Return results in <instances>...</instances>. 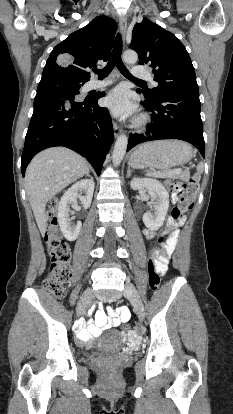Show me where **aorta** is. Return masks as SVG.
Wrapping results in <instances>:
<instances>
[{"instance_id":"obj_1","label":"aorta","mask_w":233,"mask_h":414,"mask_svg":"<svg viewBox=\"0 0 233 414\" xmlns=\"http://www.w3.org/2000/svg\"><path fill=\"white\" fill-rule=\"evenodd\" d=\"M123 60L127 64L133 65L138 61V55L135 51L128 50L124 52ZM127 144H128V139L126 135L124 134L119 135L115 142V146H114V150L112 154V161H113L114 166H118L121 163L126 153Z\"/></svg>"}]
</instances>
